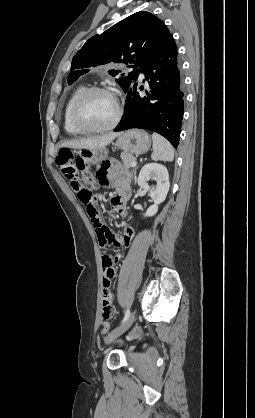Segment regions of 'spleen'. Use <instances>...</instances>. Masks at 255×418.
Listing matches in <instances>:
<instances>
[{"mask_svg": "<svg viewBox=\"0 0 255 418\" xmlns=\"http://www.w3.org/2000/svg\"><path fill=\"white\" fill-rule=\"evenodd\" d=\"M153 153L151 158L154 161H173L174 149L172 145L164 137L157 133L152 134Z\"/></svg>", "mask_w": 255, "mask_h": 418, "instance_id": "spleen-1", "label": "spleen"}]
</instances>
